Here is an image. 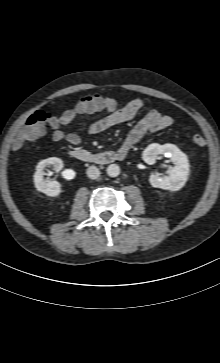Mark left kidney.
Returning <instances> with one entry per match:
<instances>
[{"label":"left kidney","instance_id":"obj_1","mask_svg":"<svg viewBox=\"0 0 220 363\" xmlns=\"http://www.w3.org/2000/svg\"><path fill=\"white\" fill-rule=\"evenodd\" d=\"M159 154L170 157V161L174 164L168 176L157 177L152 174L149 182L153 187L165 190L177 191L181 189L187 181L189 175V161L187 156L173 144L159 145L150 144L142 154L143 160L152 165L155 163Z\"/></svg>","mask_w":220,"mask_h":363}]
</instances>
